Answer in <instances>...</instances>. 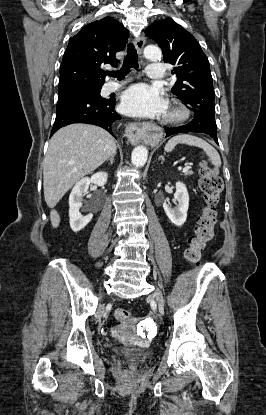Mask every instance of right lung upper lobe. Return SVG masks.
<instances>
[{
    "label": "right lung upper lobe",
    "mask_w": 266,
    "mask_h": 415,
    "mask_svg": "<svg viewBox=\"0 0 266 415\" xmlns=\"http://www.w3.org/2000/svg\"><path fill=\"white\" fill-rule=\"evenodd\" d=\"M127 30L117 20L105 17L84 26L69 41L60 67L58 93L102 87L104 64L116 67L115 54L124 49Z\"/></svg>",
    "instance_id": "1"
}]
</instances>
